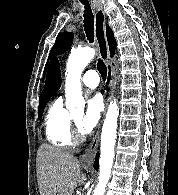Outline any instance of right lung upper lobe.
Instances as JSON below:
<instances>
[{
  "instance_id": "1",
  "label": "right lung upper lobe",
  "mask_w": 178,
  "mask_h": 195,
  "mask_svg": "<svg viewBox=\"0 0 178 195\" xmlns=\"http://www.w3.org/2000/svg\"><path fill=\"white\" fill-rule=\"evenodd\" d=\"M107 40L110 49V56L113 57L116 48V40L113 32L107 26L106 27ZM61 86V73L60 66L57 60H52L49 65L48 76L43 92L39 98V106L46 104L49 99L59 90Z\"/></svg>"
}]
</instances>
